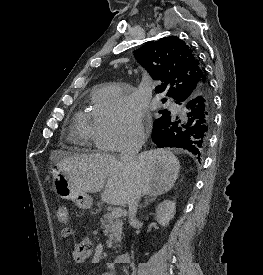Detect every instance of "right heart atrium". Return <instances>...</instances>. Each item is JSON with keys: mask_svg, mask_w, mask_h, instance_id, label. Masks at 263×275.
Segmentation results:
<instances>
[{"mask_svg": "<svg viewBox=\"0 0 263 275\" xmlns=\"http://www.w3.org/2000/svg\"><path fill=\"white\" fill-rule=\"evenodd\" d=\"M94 115V140L102 150L126 149L143 138V108L132 89H102L96 96Z\"/></svg>", "mask_w": 263, "mask_h": 275, "instance_id": "d8ad5b80", "label": "right heart atrium"}]
</instances>
